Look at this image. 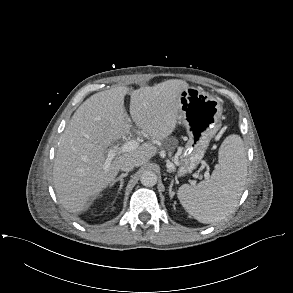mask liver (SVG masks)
<instances>
[{"label": "liver", "instance_id": "6515ba94", "mask_svg": "<svg viewBox=\"0 0 293 293\" xmlns=\"http://www.w3.org/2000/svg\"><path fill=\"white\" fill-rule=\"evenodd\" d=\"M187 87L185 81L171 79L131 93L132 120L151 141L119 154L106 170V149L130 130L124 108L128 89L114 87L85 100L59 140L53 184L60 204L68 212L80 214L115 179L125 159L133 160L135 167L148 163L156 153L153 144L164 141L176 128L181 113L179 95Z\"/></svg>", "mask_w": 293, "mask_h": 293}]
</instances>
